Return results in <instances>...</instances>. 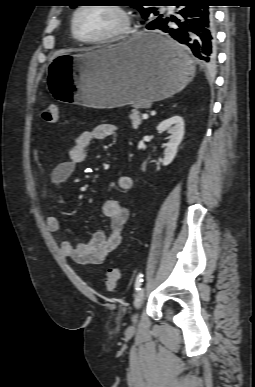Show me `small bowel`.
Listing matches in <instances>:
<instances>
[{"instance_id": "obj_1", "label": "small bowel", "mask_w": 255, "mask_h": 387, "mask_svg": "<svg viewBox=\"0 0 255 387\" xmlns=\"http://www.w3.org/2000/svg\"><path fill=\"white\" fill-rule=\"evenodd\" d=\"M117 127L110 123H101L81 132L68 153V159L58 163L49 172V181L61 186L74 174L78 165L85 162L87 151L92 142L113 135ZM133 181L129 176H120L117 180L118 190L127 192L132 188ZM59 205L64 204L61 196L57 197ZM102 213L109 219V231H96L86 243L73 244L68 240L61 243V252L78 264L100 265L109 253L115 250L123 238V229L129 219V209L116 199H108L102 205ZM49 231L59 232L61 224L57 216L50 215L46 220Z\"/></svg>"}]
</instances>
